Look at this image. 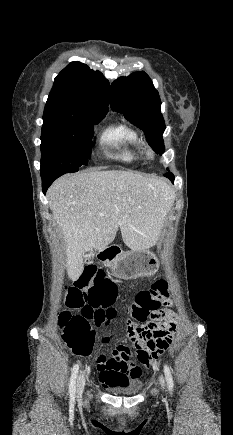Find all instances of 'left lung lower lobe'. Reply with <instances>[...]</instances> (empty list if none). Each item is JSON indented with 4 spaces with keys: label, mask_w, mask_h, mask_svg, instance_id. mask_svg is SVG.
Here are the masks:
<instances>
[{
    "label": "left lung lower lobe",
    "mask_w": 233,
    "mask_h": 435,
    "mask_svg": "<svg viewBox=\"0 0 233 435\" xmlns=\"http://www.w3.org/2000/svg\"><path fill=\"white\" fill-rule=\"evenodd\" d=\"M164 176H166L167 178H169L172 182L174 181V175L172 173H166L164 174Z\"/></svg>",
    "instance_id": "0a47b994"
}]
</instances>
